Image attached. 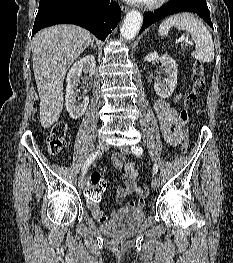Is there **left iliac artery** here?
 Here are the masks:
<instances>
[{"instance_id":"1","label":"left iliac artery","mask_w":233,"mask_h":263,"mask_svg":"<svg viewBox=\"0 0 233 263\" xmlns=\"http://www.w3.org/2000/svg\"><path fill=\"white\" fill-rule=\"evenodd\" d=\"M132 152L135 154V155H140L143 153V149L141 147H138V146H133L132 147ZM158 172V165L155 163L154 166H153V173L156 174Z\"/></svg>"}]
</instances>
